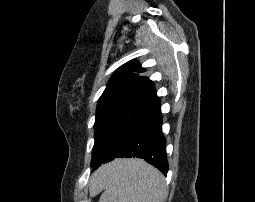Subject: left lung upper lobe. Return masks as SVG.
<instances>
[{"label":"left lung upper lobe","instance_id":"1","mask_svg":"<svg viewBox=\"0 0 255 202\" xmlns=\"http://www.w3.org/2000/svg\"><path fill=\"white\" fill-rule=\"evenodd\" d=\"M143 72L146 69L135 60L124 64L99 98L91 167L119 154L135 130L160 106L154 83L140 75Z\"/></svg>","mask_w":255,"mask_h":202}]
</instances>
